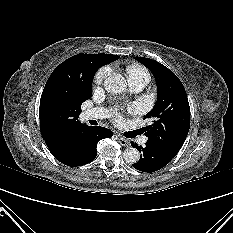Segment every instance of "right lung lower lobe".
<instances>
[{
    "mask_svg": "<svg viewBox=\"0 0 233 233\" xmlns=\"http://www.w3.org/2000/svg\"><path fill=\"white\" fill-rule=\"evenodd\" d=\"M112 135V131L107 128L81 124L74 130L67 143L50 151L59 162L67 166L85 165L96 158L98 141Z\"/></svg>",
    "mask_w": 233,
    "mask_h": 233,
    "instance_id": "obj_1",
    "label": "right lung lower lobe"
}]
</instances>
